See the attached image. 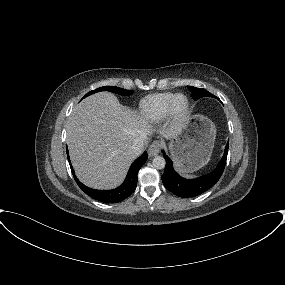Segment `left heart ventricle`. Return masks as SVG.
<instances>
[{"label": "left heart ventricle", "instance_id": "obj_1", "mask_svg": "<svg viewBox=\"0 0 285 285\" xmlns=\"http://www.w3.org/2000/svg\"><path fill=\"white\" fill-rule=\"evenodd\" d=\"M184 103H185V100H184V99H180V100L178 101L179 106H183Z\"/></svg>", "mask_w": 285, "mask_h": 285}]
</instances>
